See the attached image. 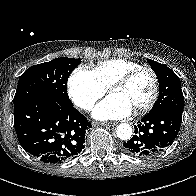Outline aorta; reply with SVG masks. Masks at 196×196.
Instances as JSON below:
<instances>
[{
	"mask_svg": "<svg viewBox=\"0 0 196 196\" xmlns=\"http://www.w3.org/2000/svg\"><path fill=\"white\" fill-rule=\"evenodd\" d=\"M117 137L121 140H128L132 136V127L127 123H121L116 127Z\"/></svg>",
	"mask_w": 196,
	"mask_h": 196,
	"instance_id": "obj_1",
	"label": "aorta"
}]
</instances>
